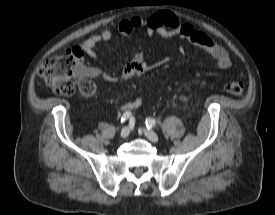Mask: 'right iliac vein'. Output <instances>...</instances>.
Wrapping results in <instances>:
<instances>
[{"label":"right iliac vein","mask_w":275,"mask_h":215,"mask_svg":"<svg viewBox=\"0 0 275 215\" xmlns=\"http://www.w3.org/2000/svg\"><path fill=\"white\" fill-rule=\"evenodd\" d=\"M129 133H130V129L128 127H124L120 132V136L122 138H126L128 137Z\"/></svg>","instance_id":"obj_1"}]
</instances>
